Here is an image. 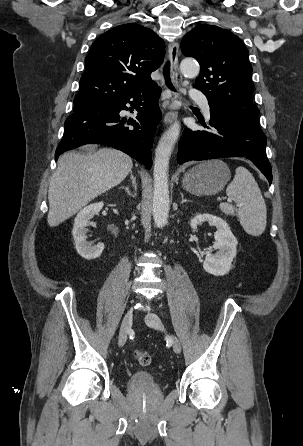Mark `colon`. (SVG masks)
I'll use <instances>...</instances> for the list:
<instances>
[{
  "instance_id": "5ec220e1",
  "label": "colon",
  "mask_w": 303,
  "mask_h": 446,
  "mask_svg": "<svg viewBox=\"0 0 303 446\" xmlns=\"http://www.w3.org/2000/svg\"><path fill=\"white\" fill-rule=\"evenodd\" d=\"M134 358L137 364L140 366H148L151 363V355L147 351H136Z\"/></svg>"
}]
</instances>
